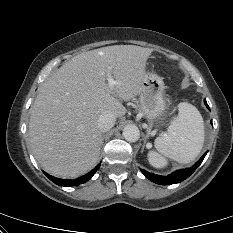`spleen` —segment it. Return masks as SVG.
<instances>
[{"instance_id":"3e777b00","label":"spleen","mask_w":233,"mask_h":233,"mask_svg":"<svg viewBox=\"0 0 233 233\" xmlns=\"http://www.w3.org/2000/svg\"><path fill=\"white\" fill-rule=\"evenodd\" d=\"M178 116L168 127L167 132L155 139L158 152L149 153V162L156 168L167 165V158L187 164L201 152L205 132L203 118L192 104L183 102L178 105Z\"/></svg>"}]
</instances>
